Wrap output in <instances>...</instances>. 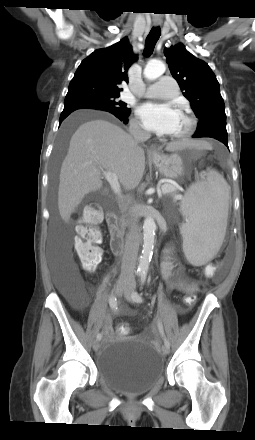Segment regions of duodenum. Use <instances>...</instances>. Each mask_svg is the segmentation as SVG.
Wrapping results in <instances>:
<instances>
[{
    "label": "duodenum",
    "instance_id": "obj_1",
    "mask_svg": "<svg viewBox=\"0 0 255 440\" xmlns=\"http://www.w3.org/2000/svg\"><path fill=\"white\" fill-rule=\"evenodd\" d=\"M106 222L111 235V248L115 255H121L123 251V237L117 226V216L114 211H108Z\"/></svg>",
    "mask_w": 255,
    "mask_h": 440
}]
</instances>
